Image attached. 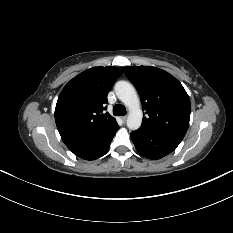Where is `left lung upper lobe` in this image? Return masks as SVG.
<instances>
[{
	"label": "left lung upper lobe",
	"mask_w": 233,
	"mask_h": 233,
	"mask_svg": "<svg viewBox=\"0 0 233 233\" xmlns=\"http://www.w3.org/2000/svg\"><path fill=\"white\" fill-rule=\"evenodd\" d=\"M124 73L135 85L146 117L141 128L183 138L191 105L181 83L166 71L151 66H129Z\"/></svg>",
	"instance_id": "obj_1"
}]
</instances>
